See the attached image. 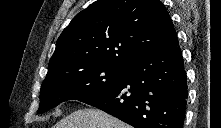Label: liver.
<instances>
[{
  "label": "liver",
  "instance_id": "obj_1",
  "mask_svg": "<svg viewBox=\"0 0 221 128\" xmlns=\"http://www.w3.org/2000/svg\"><path fill=\"white\" fill-rule=\"evenodd\" d=\"M53 128H131L96 108L79 109L61 119Z\"/></svg>",
  "mask_w": 221,
  "mask_h": 128
}]
</instances>
